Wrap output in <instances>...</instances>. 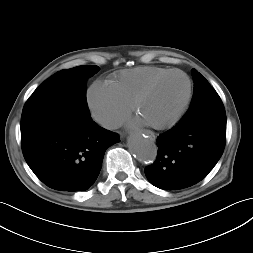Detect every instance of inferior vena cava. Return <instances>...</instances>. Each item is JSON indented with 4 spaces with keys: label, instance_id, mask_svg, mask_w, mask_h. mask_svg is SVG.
<instances>
[{
    "label": "inferior vena cava",
    "instance_id": "inferior-vena-cava-1",
    "mask_svg": "<svg viewBox=\"0 0 253 253\" xmlns=\"http://www.w3.org/2000/svg\"><path fill=\"white\" fill-rule=\"evenodd\" d=\"M98 121L103 127L108 129H114L119 126V123L115 122L111 117H101Z\"/></svg>",
    "mask_w": 253,
    "mask_h": 253
}]
</instances>
